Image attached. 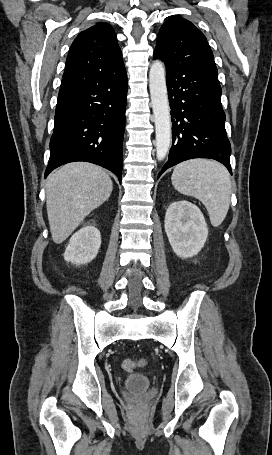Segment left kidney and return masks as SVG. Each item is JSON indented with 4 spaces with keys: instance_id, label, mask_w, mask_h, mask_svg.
<instances>
[{
    "instance_id": "5707ae66",
    "label": "left kidney",
    "mask_w": 272,
    "mask_h": 455,
    "mask_svg": "<svg viewBox=\"0 0 272 455\" xmlns=\"http://www.w3.org/2000/svg\"><path fill=\"white\" fill-rule=\"evenodd\" d=\"M164 227L173 251L180 258L197 255L208 237L207 224L201 210L186 200L170 204Z\"/></svg>"
}]
</instances>
